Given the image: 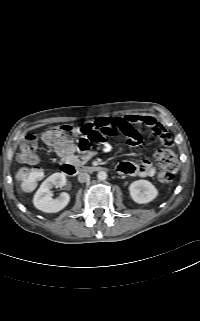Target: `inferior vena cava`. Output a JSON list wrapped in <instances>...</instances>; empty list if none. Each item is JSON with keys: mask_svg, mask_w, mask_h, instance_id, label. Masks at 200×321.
I'll return each instance as SVG.
<instances>
[{"mask_svg": "<svg viewBox=\"0 0 200 321\" xmlns=\"http://www.w3.org/2000/svg\"><path fill=\"white\" fill-rule=\"evenodd\" d=\"M89 179H90V175L87 172H81L78 175V181L80 183L87 182V181H89Z\"/></svg>", "mask_w": 200, "mask_h": 321, "instance_id": "inferior-vena-cava-1", "label": "inferior vena cava"}]
</instances>
